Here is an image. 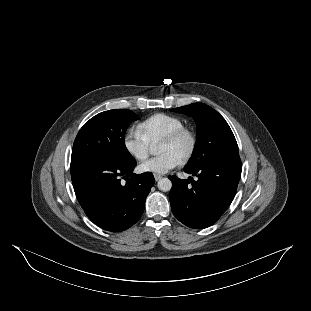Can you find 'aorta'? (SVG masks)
<instances>
[{
    "instance_id": "aorta-1",
    "label": "aorta",
    "mask_w": 311,
    "mask_h": 311,
    "mask_svg": "<svg viewBox=\"0 0 311 311\" xmlns=\"http://www.w3.org/2000/svg\"><path fill=\"white\" fill-rule=\"evenodd\" d=\"M157 186L158 188L161 190V191H169L172 187V182L170 179L168 178H161L158 183H157Z\"/></svg>"
}]
</instances>
